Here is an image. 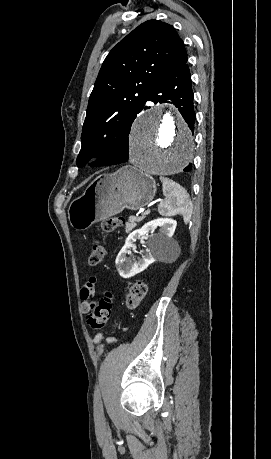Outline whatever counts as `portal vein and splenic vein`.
<instances>
[{
  "instance_id": "obj_1",
  "label": "portal vein and splenic vein",
  "mask_w": 271,
  "mask_h": 459,
  "mask_svg": "<svg viewBox=\"0 0 271 459\" xmlns=\"http://www.w3.org/2000/svg\"><path fill=\"white\" fill-rule=\"evenodd\" d=\"M146 211H147V212H145V211L142 212V213H143V216H147V214H150V210L147 209Z\"/></svg>"
}]
</instances>
